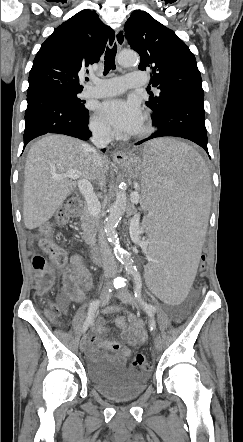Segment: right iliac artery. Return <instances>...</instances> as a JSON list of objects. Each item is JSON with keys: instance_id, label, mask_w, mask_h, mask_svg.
Masks as SVG:
<instances>
[{"instance_id": "right-iliac-artery-1", "label": "right iliac artery", "mask_w": 243, "mask_h": 442, "mask_svg": "<svg viewBox=\"0 0 243 442\" xmlns=\"http://www.w3.org/2000/svg\"><path fill=\"white\" fill-rule=\"evenodd\" d=\"M99 306V300H94L90 303V306L88 308V316L83 324V332H85L88 327L93 323L94 315L98 309Z\"/></svg>"}]
</instances>
